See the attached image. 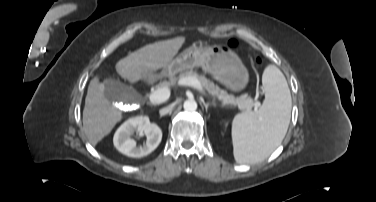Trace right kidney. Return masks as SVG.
Segmentation results:
<instances>
[{
    "label": "right kidney",
    "mask_w": 376,
    "mask_h": 202,
    "mask_svg": "<svg viewBox=\"0 0 376 202\" xmlns=\"http://www.w3.org/2000/svg\"><path fill=\"white\" fill-rule=\"evenodd\" d=\"M133 132H143L147 140L138 146L131 138ZM162 131L160 127L151 123L147 116H136L125 121L115 132L113 143L118 151L133 157L140 158L150 154L160 144Z\"/></svg>",
    "instance_id": "ca27d5eb"
}]
</instances>
